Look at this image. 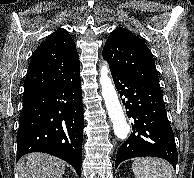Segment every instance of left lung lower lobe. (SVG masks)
Masks as SVG:
<instances>
[{
	"mask_svg": "<svg viewBox=\"0 0 194 178\" xmlns=\"http://www.w3.org/2000/svg\"><path fill=\"white\" fill-rule=\"evenodd\" d=\"M113 81L134 119L133 133L117 152L115 166L133 157H160L177 164L178 154L173 130L168 121L163 93L159 86L150 85L111 71Z\"/></svg>",
	"mask_w": 194,
	"mask_h": 178,
	"instance_id": "left-lung-lower-lobe-1",
	"label": "left lung lower lobe"
}]
</instances>
